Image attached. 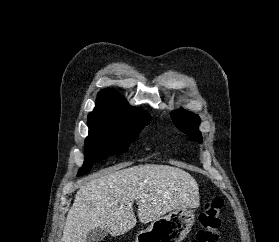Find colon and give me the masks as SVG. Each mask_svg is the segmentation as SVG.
I'll return each mask as SVG.
<instances>
[{"label": "colon", "instance_id": "5ec220e1", "mask_svg": "<svg viewBox=\"0 0 279 242\" xmlns=\"http://www.w3.org/2000/svg\"><path fill=\"white\" fill-rule=\"evenodd\" d=\"M223 207L224 200L222 197L216 196L207 201L203 212L199 215L201 229L191 242H218Z\"/></svg>", "mask_w": 279, "mask_h": 242}]
</instances>
